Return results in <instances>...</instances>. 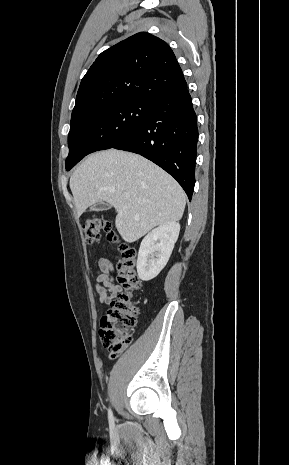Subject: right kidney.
<instances>
[{"label":"right kidney","mask_w":289,"mask_h":465,"mask_svg":"<svg viewBox=\"0 0 289 465\" xmlns=\"http://www.w3.org/2000/svg\"><path fill=\"white\" fill-rule=\"evenodd\" d=\"M179 232V223L166 222L145 236L141 242L137 259V273L141 280L149 281L155 278L165 267Z\"/></svg>","instance_id":"obj_1"}]
</instances>
